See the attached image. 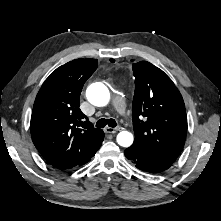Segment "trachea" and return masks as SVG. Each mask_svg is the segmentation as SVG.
Listing matches in <instances>:
<instances>
[{"mask_svg":"<svg viewBox=\"0 0 221 221\" xmlns=\"http://www.w3.org/2000/svg\"><path fill=\"white\" fill-rule=\"evenodd\" d=\"M106 125L114 128L117 126V123L114 119H104V118H101L96 123V127H99V128L105 127Z\"/></svg>","mask_w":221,"mask_h":221,"instance_id":"1","label":"trachea"}]
</instances>
